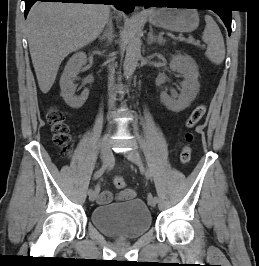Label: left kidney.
I'll return each instance as SVG.
<instances>
[{
    "label": "left kidney",
    "instance_id": "1",
    "mask_svg": "<svg viewBox=\"0 0 259 266\" xmlns=\"http://www.w3.org/2000/svg\"><path fill=\"white\" fill-rule=\"evenodd\" d=\"M170 68L184 77L181 85L182 89L179 95L173 94L171 96L163 91L160 94V98L167 109L173 112H180L189 107L199 92V71L194 59L181 53L172 56Z\"/></svg>",
    "mask_w": 259,
    "mask_h": 266
}]
</instances>
